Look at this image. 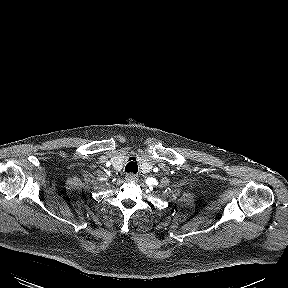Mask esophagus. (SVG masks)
<instances>
[{"label":"esophagus","mask_w":288,"mask_h":288,"mask_svg":"<svg viewBox=\"0 0 288 288\" xmlns=\"http://www.w3.org/2000/svg\"><path fill=\"white\" fill-rule=\"evenodd\" d=\"M126 180L128 181H136L137 180V175L136 174H133V173H129L126 175Z\"/></svg>","instance_id":"obj_1"}]
</instances>
